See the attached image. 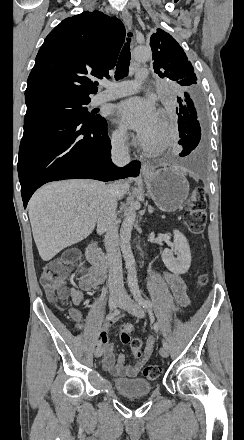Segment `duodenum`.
<instances>
[{
    "instance_id": "1",
    "label": "duodenum",
    "mask_w": 244,
    "mask_h": 440,
    "mask_svg": "<svg viewBox=\"0 0 244 440\" xmlns=\"http://www.w3.org/2000/svg\"><path fill=\"white\" fill-rule=\"evenodd\" d=\"M87 259L94 266V268L105 272L104 270L108 264V258L98 249L95 241H92L86 252Z\"/></svg>"
}]
</instances>
